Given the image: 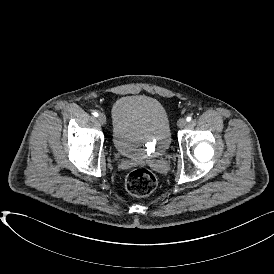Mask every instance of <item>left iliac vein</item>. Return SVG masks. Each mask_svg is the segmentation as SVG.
Here are the masks:
<instances>
[{"label": "left iliac vein", "instance_id": "1", "mask_svg": "<svg viewBox=\"0 0 274 274\" xmlns=\"http://www.w3.org/2000/svg\"><path fill=\"white\" fill-rule=\"evenodd\" d=\"M186 124H187V121H186L185 118H180V119L178 120V122H177V126H178L179 128L185 127Z\"/></svg>", "mask_w": 274, "mask_h": 274}]
</instances>
